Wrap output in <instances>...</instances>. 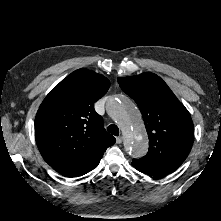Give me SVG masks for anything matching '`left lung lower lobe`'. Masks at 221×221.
<instances>
[{"mask_svg": "<svg viewBox=\"0 0 221 221\" xmlns=\"http://www.w3.org/2000/svg\"><path fill=\"white\" fill-rule=\"evenodd\" d=\"M133 165V164H132ZM134 166V165H133ZM135 167V166H134ZM136 168V167H135ZM137 169V168H136ZM138 170V169H137ZM140 171V170H139ZM142 172V171H140ZM150 177H153V178H160V177H164L166 176V174H162V173H153V174H149V173H145V172H142Z\"/></svg>", "mask_w": 221, "mask_h": 221, "instance_id": "obj_1", "label": "left lung lower lobe"}]
</instances>
